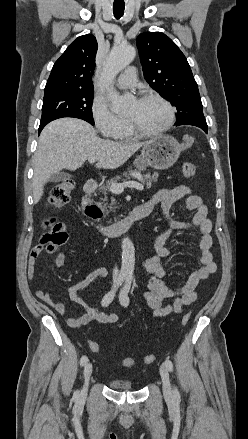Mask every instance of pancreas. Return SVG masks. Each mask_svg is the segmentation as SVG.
Instances as JSON below:
<instances>
[{"instance_id": "pancreas-1", "label": "pancreas", "mask_w": 248, "mask_h": 439, "mask_svg": "<svg viewBox=\"0 0 248 439\" xmlns=\"http://www.w3.org/2000/svg\"><path fill=\"white\" fill-rule=\"evenodd\" d=\"M123 176L125 178H129V176H132L133 178L140 179L148 188H150L152 182H156L158 178L157 173H153L152 175L150 173L142 175L141 172L136 169L135 170L130 169L128 172H124ZM119 179L120 177L117 176L111 179L110 181H108L106 184L100 185L99 190L102 191L105 195V197L102 199L103 208H105L107 205H109L110 210H112V208H118L115 206L117 203L115 198H111V203H108L106 195L108 194L107 192L110 189L111 184L116 183Z\"/></svg>"}]
</instances>
